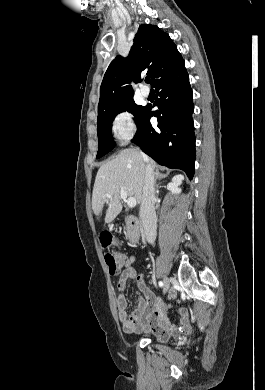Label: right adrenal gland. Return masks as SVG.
<instances>
[{
    "label": "right adrenal gland",
    "mask_w": 265,
    "mask_h": 390,
    "mask_svg": "<svg viewBox=\"0 0 265 390\" xmlns=\"http://www.w3.org/2000/svg\"><path fill=\"white\" fill-rule=\"evenodd\" d=\"M167 176H168V174H162V173L159 172V170H156V172H155V181L162 180V179L166 178Z\"/></svg>",
    "instance_id": "1"
}]
</instances>
